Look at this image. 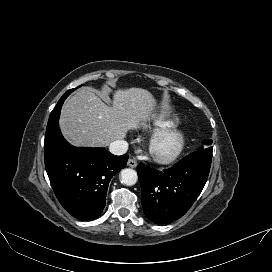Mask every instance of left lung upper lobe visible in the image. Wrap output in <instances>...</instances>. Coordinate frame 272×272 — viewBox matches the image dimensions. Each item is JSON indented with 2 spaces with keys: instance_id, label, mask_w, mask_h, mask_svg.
<instances>
[{
  "instance_id": "1",
  "label": "left lung upper lobe",
  "mask_w": 272,
  "mask_h": 272,
  "mask_svg": "<svg viewBox=\"0 0 272 272\" xmlns=\"http://www.w3.org/2000/svg\"><path fill=\"white\" fill-rule=\"evenodd\" d=\"M203 144H206L207 146H210L211 144H212V140H204L203 141ZM203 148H205V147H199L198 148V150H201V149H203Z\"/></svg>"
}]
</instances>
